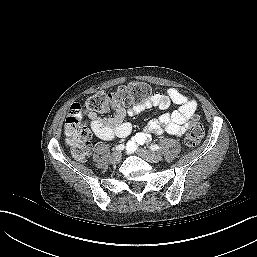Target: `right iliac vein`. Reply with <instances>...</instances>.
Here are the masks:
<instances>
[{"label":"right iliac vein","mask_w":257,"mask_h":257,"mask_svg":"<svg viewBox=\"0 0 257 257\" xmlns=\"http://www.w3.org/2000/svg\"><path fill=\"white\" fill-rule=\"evenodd\" d=\"M121 160V153L119 151H114L111 154V161L113 163H118Z\"/></svg>","instance_id":"right-iliac-vein-1"}]
</instances>
